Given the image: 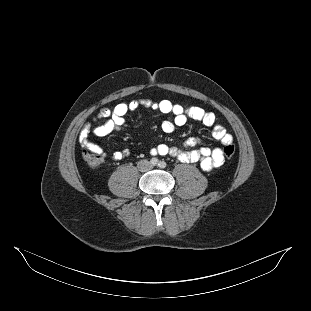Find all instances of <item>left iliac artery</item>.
<instances>
[{"mask_svg": "<svg viewBox=\"0 0 311 311\" xmlns=\"http://www.w3.org/2000/svg\"><path fill=\"white\" fill-rule=\"evenodd\" d=\"M158 166H159L160 168H165V167L167 166V164H166L165 161H160L159 164H158Z\"/></svg>", "mask_w": 311, "mask_h": 311, "instance_id": "obj_1", "label": "left iliac artery"}]
</instances>
